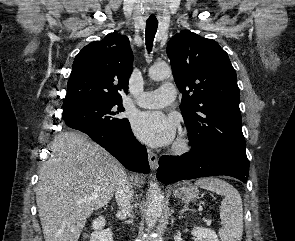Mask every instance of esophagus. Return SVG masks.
Masks as SVG:
<instances>
[{
  "label": "esophagus",
  "mask_w": 295,
  "mask_h": 241,
  "mask_svg": "<svg viewBox=\"0 0 295 241\" xmlns=\"http://www.w3.org/2000/svg\"><path fill=\"white\" fill-rule=\"evenodd\" d=\"M147 152H148L149 165L151 169L155 171L158 168V156L155 152H153L150 149H148Z\"/></svg>",
  "instance_id": "1"
}]
</instances>
